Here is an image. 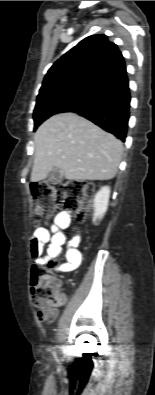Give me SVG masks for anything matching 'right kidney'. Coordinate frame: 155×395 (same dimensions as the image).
<instances>
[{"mask_svg": "<svg viewBox=\"0 0 155 395\" xmlns=\"http://www.w3.org/2000/svg\"><path fill=\"white\" fill-rule=\"evenodd\" d=\"M110 188L108 186L102 187L94 198V213H93V224L99 225L103 219L109 203Z\"/></svg>", "mask_w": 155, "mask_h": 395, "instance_id": "right-kidney-1", "label": "right kidney"}]
</instances>
